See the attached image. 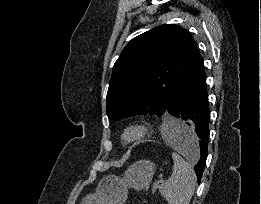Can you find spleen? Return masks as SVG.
Masks as SVG:
<instances>
[{
  "label": "spleen",
  "mask_w": 261,
  "mask_h": 204,
  "mask_svg": "<svg viewBox=\"0 0 261 204\" xmlns=\"http://www.w3.org/2000/svg\"><path fill=\"white\" fill-rule=\"evenodd\" d=\"M186 126L176 119H170L162 131L165 142L176 149H184L183 145L177 141V132ZM194 147L197 156L199 154L197 143L194 144ZM172 158L174 167L171 177L159 186V192L168 204H189L195 191L194 172L178 153L173 152Z\"/></svg>",
  "instance_id": "3e777b00"
}]
</instances>
